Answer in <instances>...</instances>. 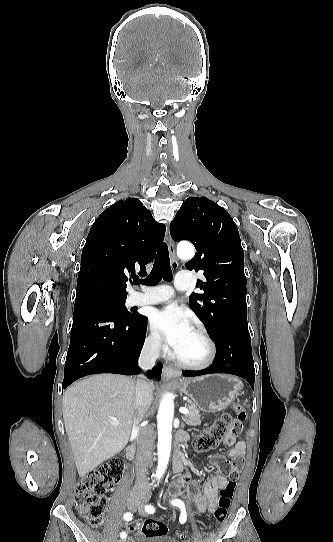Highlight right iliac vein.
<instances>
[{
	"label": "right iliac vein",
	"mask_w": 333,
	"mask_h": 542,
	"mask_svg": "<svg viewBox=\"0 0 333 542\" xmlns=\"http://www.w3.org/2000/svg\"><path fill=\"white\" fill-rule=\"evenodd\" d=\"M139 494H132V496L130 497L131 500L130 502H128V508L131 510V511H135L138 506H139ZM122 542H127L126 540L125 541H122Z\"/></svg>",
	"instance_id": "1"
}]
</instances>
